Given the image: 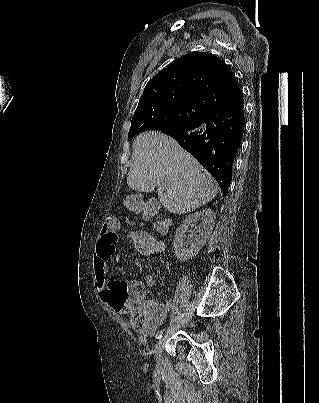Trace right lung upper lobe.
Masks as SVG:
<instances>
[{
  "mask_svg": "<svg viewBox=\"0 0 319 403\" xmlns=\"http://www.w3.org/2000/svg\"><path fill=\"white\" fill-rule=\"evenodd\" d=\"M243 102L234 74L221 59L192 52L170 63L147 83L134 115L162 103L193 104L209 112Z\"/></svg>",
  "mask_w": 319,
  "mask_h": 403,
  "instance_id": "1",
  "label": "right lung upper lobe"
}]
</instances>
